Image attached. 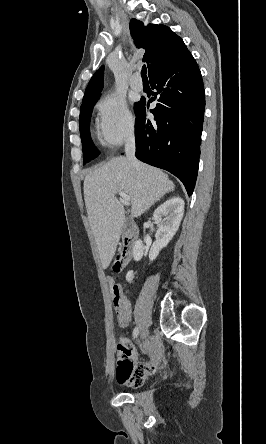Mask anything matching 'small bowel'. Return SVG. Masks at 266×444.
<instances>
[{
  "instance_id": "1",
  "label": "small bowel",
  "mask_w": 266,
  "mask_h": 444,
  "mask_svg": "<svg viewBox=\"0 0 266 444\" xmlns=\"http://www.w3.org/2000/svg\"><path fill=\"white\" fill-rule=\"evenodd\" d=\"M115 312L121 327H127L131 321V307L126 297L122 305L115 308ZM145 349L147 353L154 356L158 346L153 340H146ZM117 360V381L119 384L130 387L142 385L145 378L159 367L155 359L150 362L138 360L134 347L126 337L121 338L117 346Z\"/></svg>"
}]
</instances>
